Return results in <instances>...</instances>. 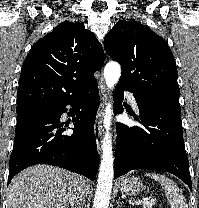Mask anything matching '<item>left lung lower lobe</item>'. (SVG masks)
<instances>
[{"label": "left lung lower lobe", "instance_id": "obj_1", "mask_svg": "<svg viewBox=\"0 0 199 208\" xmlns=\"http://www.w3.org/2000/svg\"><path fill=\"white\" fill-rule=\"evenodd\" d=\"M124 91L132 92L127 86L117 84L114 91L115 114L123 112ZM133 95L140 111V119H135L143 127L117 124L114 177L134 169L160 170L176 175L192 190L181 108L151 103L135 93Z\"/></svg>", "mask_w": 199, "mask_h": 208}]
</instances>
